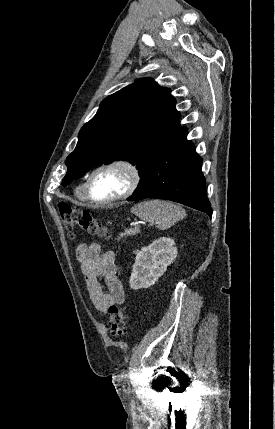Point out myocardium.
Returning a JSON list of instances; mask_svg holds the SVG:
<instances>
[{"mask_svg": "<svg viewBox=\"0 0 275 429\" xmlns=\"http://www.w3.org/2000/svg\"><path fill=\"white\" fill-rule=\"evenodd\" d=\"M107 169H120V170H122L127 176V185L121 193H119L118 195H116L114 197H111V198L105 199V200L95 199L91 195L92 180L97 173H99L103 170H107ZM139 182H140L139 170L131 161L126 160V159H122V158L112 159V160L106 161V162L98 165L96 168H94L91 171V173L89 174V176L85 182L84 194H85L86 199L89 200L90 202L94 203V204L109 205V204H113L115 202H118L120 200L126 199L129 196H131L135 192V190L137 189Z\"/></svg>", "mask_w": 275, "mask_h": 429, "instance_id": "obj_1", "label": "myocardium"}]
</instances>
